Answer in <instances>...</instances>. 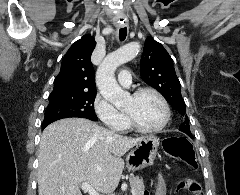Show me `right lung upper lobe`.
I'll return each mask as SVG.
<instances>
[{
	"mask_svg": "<svg viewBox=\"0 0 240 195\" xmlns=\"http://www.w3.org/2000/svg\"><path fill=\"white\" fill-rule=\"evenodd\" d=\"M96 42L86 34L77 40L62 59L59 75L55 78L50 95L70 93H96L91 55Z\"/></svg>",
	"mask_w": 240,
	"mask_h": 195,
	"instance_id": "cb5924a9",
	"label": "right lung upper lobe"
}]
</instances>
